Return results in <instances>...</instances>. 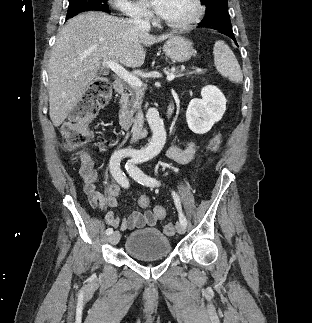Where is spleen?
Instances as JSON below:
<instances>
[{
    "label": "spleen",
    "mask_w": 312,
    "mask_h": 323,
    "mask_svg": "<svg viewBox=\"0 0 312 323\" xmlns=\"http://www.w3.org/2000/svg\"><path fill=\"white\" fill-rule=\"evenodd\" d=\"M214 54V64L222 74V76H228L231 82L234 84H240L243 80V74L241 68L229 46L222 42V40H217L213 48Z\"/></svg>",
    "instance_id": "1"
}]
</instances>
